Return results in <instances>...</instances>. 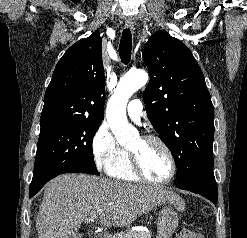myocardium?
Returning <instances> with one entry per match:
<instances>
[{"instance_id": "myocardium-1", "label": "myocardium", "mask_w": 247, "mask_h": 238, "mask_svg": "<svg viewBox=\"0 0 247 238\" xmlns=\"http://www.w3.org/2000/svg\"><path fill=\"white\" fill-rule=\"evenodd\" d=\"M141 139L145 142L156 143L163 148V150L165 151L166 155L168 156V159L170 162V173L166 178H164L162 180L150 179L143 172L139 157L134 152L129 150L128 153H129V157H130V161H131V166H132L134 173L138 177V179H140L143 182H146L148 184H153V185H164V184H167L170 181H172V179L175 177V174L177 171V164H176V159H175V156L173 154V151L171 150L169 145L164 140H162L160 137L155 136V135H145V136L141 137Z\"/></svg>"}]
</instances>
